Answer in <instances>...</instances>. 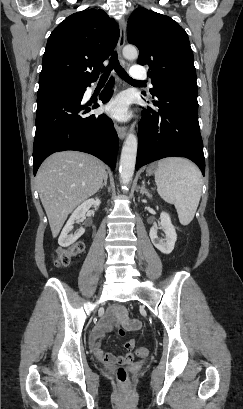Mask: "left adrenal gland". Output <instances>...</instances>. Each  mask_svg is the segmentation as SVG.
Listing matches in <instances>:
<instances>
[{"label":"left adrenal gland","mask_w":243,"mask_h":409,"mask_svg":"<svg viewBox=\"0 0 243 409\" xmlns=\"http://www.w3.org/2000/svg\"><path fill=\"white\" fill-rule=\"evenodd\" d=\"M139 189H140L141 194H145L148 198L151 197V194L149 193V191L145 187V181L144 180L142 181V185H141V187Z\"/></svg>","instance_id":"1"}]
</instances>
